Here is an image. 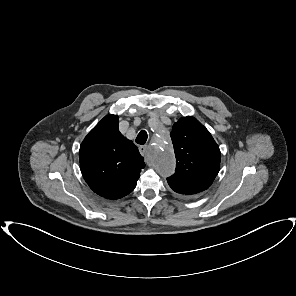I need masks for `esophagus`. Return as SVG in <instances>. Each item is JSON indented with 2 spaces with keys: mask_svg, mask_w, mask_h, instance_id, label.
<instances>
[{
  "mask_svg": "<svg viewBox=\"0 0 296 296\" xmlns=\"http://www.w3.org/2000/svg\"><path fill=\"white\" fill-rule=\"evenodd\" d=\"M148 151V146L147 145H141L139 146V152L142 156H145Z\"/></svg>",
  "mask_w": 296,
  "mask_h": 296,
  "instance_id": "34e87169",
  "label": "esophagus"
}]
</instances>
